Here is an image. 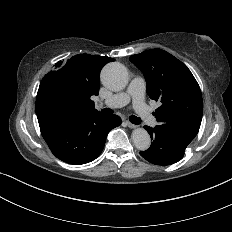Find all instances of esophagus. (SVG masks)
I'll list each match as a JSON object with an SVG mask.
<instances>
[{
	"label": "esophagus",
	"mask_w": 232,
	"mask_h": 232,
	"mask_svg": "<svg viewBox=\"0 0 232 232\" xmlns=\"http://www.w3.org/2000/svg\"><path fill=\"white\" fill-rule=\"evenodd\" d=\"M126 125H127L129 128H136V127H137L135 124H132V123L129 122V121H126Z\"/></svg>",
	"instance_id": "34e87169"
}]
</instances>
